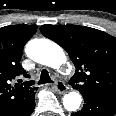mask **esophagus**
<instances>
[{
	"mask_svg": "<svg viewBox=\"0 0 116 116\" xmlns=\"http://www.w3.org/2000/svg\"><path fill=\"white\" fill-rule=\"evenodd\" d=\"M54 88L58 93H65L67 91V86L60 80L55 81Z\"/></svg>",
	"mask_w": 116,
	"mask_h": 116,
	"instance_id": "1",
	"label": "esophagus"
}]
</instances>
